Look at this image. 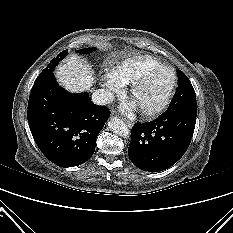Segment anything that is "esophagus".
Here are the masks:
<instances>
[{"mask_svg":"<svg viewBox=\"0 0 233 233\" xmlns=\"http://www.w3.org/2000/svg\"><path fill=\"white\" fill-rule=\"evenodd\" d=\"M125 121V123L127 124V126L131 127L133 125L132 122H130L129 120L127 119H123Z\"/></svg>","mask_w":233,"mask_h":233,"instance_id":"1","label":"esophagus"}]
</instances>
